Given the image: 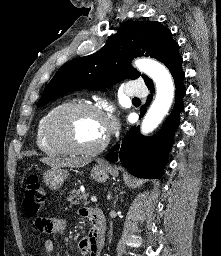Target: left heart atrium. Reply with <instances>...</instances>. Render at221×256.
Wrapping results in <instances>:
<instances>
[{
  "instance_id": "1",
  "label": "left heart atrium",
  "mask_w": 221,
  "mask_h": 256,
  "mask_svg": "<svg viewBox=\"0 0 221 256\" xmlns=\"http://www.w3.org/2000/svg\"><path fill=\"white\" fill-rule=\"evenodd\" d=\"M113 127V123H109L106 121V124H105V130H106V133H108Z\"/></svg>"
}]
</instances>
